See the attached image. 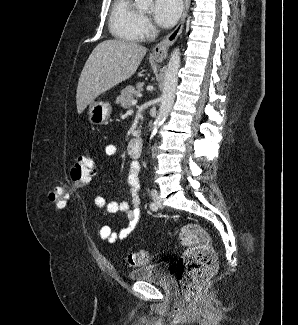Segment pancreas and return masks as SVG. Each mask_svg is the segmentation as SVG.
Here are the masks:
<instances>
[{"label":"pancreas","instance_id":"cf45deb5","mask_svg":"<svg viewBox=\"0 0 298 325\" xmlns=\"http://www.w3.org/2000/svg\"><path fill=\"white\" fill-rule=\"evenodd\" d=\"M143 82H138L136 86H125L122 88L119 96L115 98L116 104H120L122 108H128V106H132V100H135L137 94L142 90Z\"/></svg>","mask_w":298,"mask_h":325}]
</instances>
